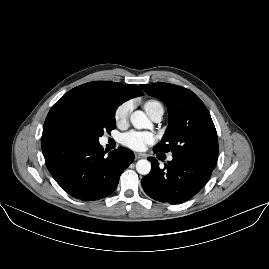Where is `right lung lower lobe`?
<instances>
[{
	"mask_svg": "<svg viewBox=\"0 0 269 269\" xmlns=\"http://www.w3.org/2000/svg\"><path fill=\"white\" fill-rule=\"evenodd\" d=\"M41 146L53 178L69 195L82 201L110 195L121 173L134 160L127 148L119 147L106 157L99 142H80L63 130L43 133Z\"/></svg>",
	"mask_w": 269,
	"mask_h": 269,
	"instance_id": "obj_1",
	"label": "right lung lower lobe"
}]
</instances>
